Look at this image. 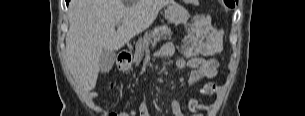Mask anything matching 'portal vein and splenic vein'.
<instances>
[{"label":"portal vein and splenic vein","instance_id":"obj_1","mask_svg":"<svg viewBox=\"0 0 305 116\" xmlns=\"http://www.w3.org/2000/svg\"><path fill=\"white\" fill-rule=\"evenodd\" d=\"M122 22L121 21H117L116 22V25H120ZM156 45V41L155 42H153V44H152V46L154 47ZM147 52H149V50H147Z\"/></svg>","mask_w":305,"mask_h":116}]
</instances>
